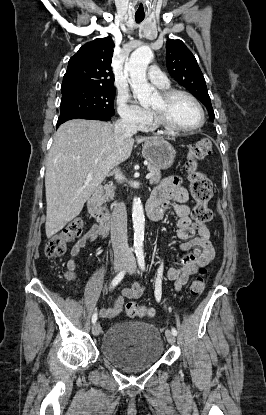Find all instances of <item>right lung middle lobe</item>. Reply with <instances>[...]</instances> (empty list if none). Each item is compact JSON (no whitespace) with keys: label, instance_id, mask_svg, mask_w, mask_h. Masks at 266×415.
Masks as SVG:
<instances>
[{"label":"right lung middle lobe","instance_id":"obj_1","mask_svg":"<svg viewBox=\"0 0 266 415\" xmlns=\"http://www.w3.org/2000/svg\"><path fill=\"white\" fill-rule=\"evenodd\" d=\"M114 87H90L62 92L61 113L79 112L113 116Z\"/></svg>","mask_w":266,"mask_h":415}]
</instances>
